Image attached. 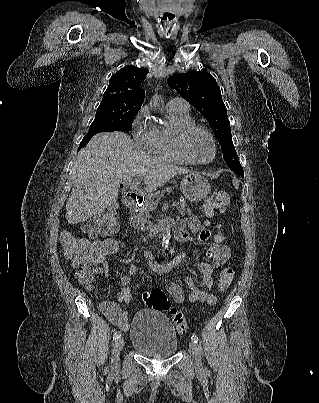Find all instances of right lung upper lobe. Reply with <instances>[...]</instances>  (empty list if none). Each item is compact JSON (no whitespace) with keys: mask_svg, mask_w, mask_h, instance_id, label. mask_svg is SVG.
Segmentation results:
<instances>
[{"mask_svg":"<svg viewBox=\"0 0 319 403\" xmlns=\"http://www.w3.org/2000/svg\"><path fill=\"white\" fill-rule=\"evenodd\" d=\"M147 73V69L133 66L120 69L111 77L100 104H124L140 109L145 95L140 85Z\"/></svg>","mask_w":319,"mask_h":403,"instance_id":"cb5924a9","label":"right lung upper lobe"}]
</instances>
